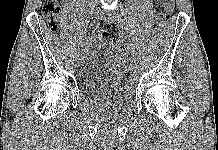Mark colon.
Wrapping results in <instances>:
<instances>
[{"instance_id":"1","label":"colon","mask_w":218,"mask_h":150,"mask_svg":"<svg viewBox=\"0 0 218 150\" xmlns=\"http://www.w3.org/2000/svg\"><path fill=\"white\" fill-rule=\"evenodd\" d=\"M61 10V0H46L42 7V13L48 27L54 31L58 27L59 15ZM170 10L159 3L154 8V15L158 22L162 23L169 17ZM98 40L104 44H112L115 36L109 31L98 29L95 33Z\"/></svg>"}]
</instances>
